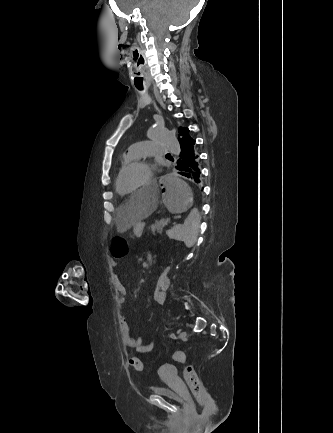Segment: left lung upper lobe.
Masks as SVG:
<instances>
[{"label":"left lung upper lobe","mask_w":333,"mask_h":433,"mask_svg":"<svg viewBox=\"0 0 333 433\" xmlns=\"http://www.w3.org/2000/svg\"><path fill=\"white\" fill-rule=\"evenodd\" d=\"M184 139L193 140V138L189 135V129L184 128V127H180L178 140L180 142L181 140H184Z\"/></svg>","instance_id":"5c2ea615"}]
</instances>
